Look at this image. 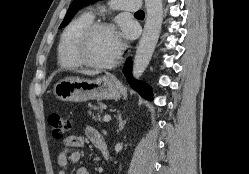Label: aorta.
<instances>
[{
  "label": "aorta",
  "mask_w": 249,
  "mask_h": 174,
  "mask_svg": "<svg viewBox=\"0 0 249 174\" xmlns=\"http://www.w3.org/2000/svg\"><path fill=\"white\" fill-rule=\"evenodd\" d=\"M145 5L146 21L136 50L132 70L136 79L142 76L152 58L163 22L162 0H145Z\"/></svg>",
  "instance_id": "aorta-1"
}]
</instances>
